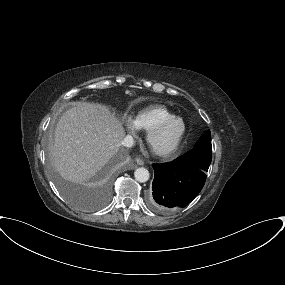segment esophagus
Wrapping results in <instances>:
<instances>
[{
    "instance_id": "obj_1",
    "label": "esophagus",
    "mask_w": 285,
    "mask_h": 285,
    "mask_svg": "<svg viewBox=\"0 0 285 285\" xmlns=\"http://www.w3.org/2000/svg\"><path fill=\"white\" fill-rule=\"evenodd\" d=\"M135 161L140 166L144 165V161L142 159H140V158H136ZM135 167L136 166L133 165V166L130 167V169H135Z\"/></svg>"
}]
</instances>
